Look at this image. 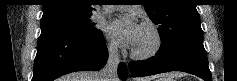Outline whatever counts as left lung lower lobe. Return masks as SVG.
<instances>
[{"mask_svg":"<svg viewBox=\"0 0 237 81\" xmlns=\"http://www.w3.org/2000/svg\"><path fill=\"white\" fill-rule=\"evenodd\" d=\"M129 70L134 77L183 71L212 81L203 36L186 38L167 49L160 48L154 57L130 62Z\"/></svg>","mask_w":237,"mask_h":81,"instance_id":"obj_1","label":"left lung lower lobe"}]
</instances>
